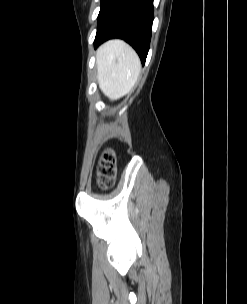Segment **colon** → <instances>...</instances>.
I'll return each instance as SVG.
<instances>
[{
	"instance_id": "obj_1",
	"label": "colon",
	"mask_w": 247,
	"mask_h": 304,
	"mask_svg": "<svg viewBox=\"0 0 247 304\" xmlns=\"http://www.w3.org/2000/svg\"><path fill=\"white\" fill-rule=\"evenodd\" d=\"M116 159L112 149H106L102 152L97 169L98 184L106 189L114 184L116 177Z\"/></svg>"
}]
</instances>
